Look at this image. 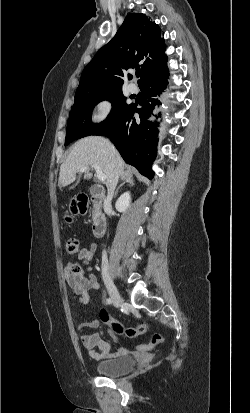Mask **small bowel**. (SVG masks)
Instances as JSON below:
<instances>
[{
  "label": "small bowel",
  "instance_id": "c3829d8e",
  "mask_svg": "<svg viewBox=\"0 0 250 413\" xmlns=\"http://www.w3.org/2000/svg\"><path fill=\"white\" fill-rule=\"evenodd\" d=\"M94 253V244H91L89 247H83L78 254V260L69 261L64 267L65 279L72 293L80 296V304L82 306L88 305L90 301L89 291L99 288V282L96 276L91 273L90 263L94 257ZM84 266H86L90 272L87 277L84 276ZM75 269H79L80 271L76 272ZM99 324L100 321L98 319H93L82 322L78 326L81 342L88 351L89 356L95 360H107L126 354L128 352L126 348H119L112 353L109 352L110 344L103 340L99 333H85L86 329L96 330ZM111 337L113 341H117V337L112 332Z\"/></svg>",
  "mask_w": 250,
  "mask_h": 413
}]
</instances>
